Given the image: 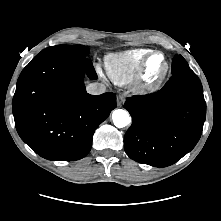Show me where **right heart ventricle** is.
<instances>
[{
	"mask_svg": "<svg viewBox=\"0 0 221 221\" xmlns=\"http://www.w3.org/2000/svg\"><path fill=\"white\" fill-rule=\"evenodd\" d=\"M150 51L152 50L148 48H133L107 54L104 58V65L108 76L118 85L131 82L142 60Z\"/></svg>",
	"mask_w": 221,
	"mask_h": 221,
	"instance_id": "1",
	"label": "right heart ventricle"
}]
</instances>
